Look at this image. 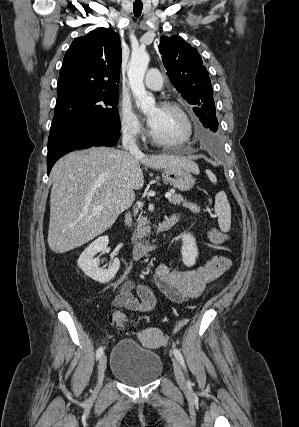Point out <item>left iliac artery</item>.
I'll return each mask as SVG.
<instances>
[{"mask_svg":"<svg viewBox=\"0 0 299 427\" xmlns=\"http://www.w3.org/2000/svg\"><path fill=\"white\" fill-rule=\"evenodd\" d=\"M174 356L176 357V359L178 360V362L181 364V366L186 370V366H185V362H184V358L181 354V352L178 349H174Z\"/></svg>","mask_w":299,"mask_h":427,"instance_id":"1","label":"left iliac artery"}]
</instances>
